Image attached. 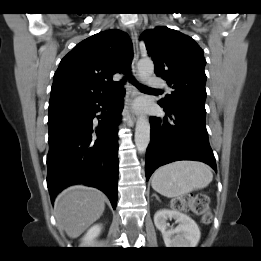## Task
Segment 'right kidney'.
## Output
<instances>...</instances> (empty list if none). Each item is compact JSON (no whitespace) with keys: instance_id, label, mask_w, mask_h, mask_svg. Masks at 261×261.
<instances>
[{"instance_id":"1","label":"right kidney","mask_w":261,"mask_h":261,"mask_svg":"<svg viewBox=\"0 0 261 261\" xmlns=\"http://www.w3.org/2000/svg\"><path fill=\"white\" fill-rule=\"evenodd\" d=\"M102 230V226L99 224L93 225L88 229L84 237L82 238V242L84 245H92L94 240L100 235Z\"/></svg>"}]
</instances>
